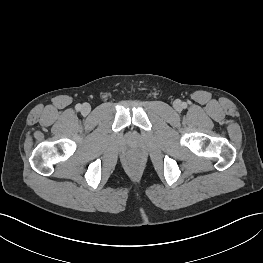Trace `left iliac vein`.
Returning a JSON list of instances; mask_svg holds the SVG:
<instances>
[{"mask_svg": "<svg viewBox=\"0 0 263 263\" xmlns=\"http://www.w3.org/2000/svg\"><path fill=\"white\" fill-rule=\"evenodd\" d=\"M174 108L177 110V111H180L182 109V104L179 100H176L174 102Z\"/></svg>", "mask_w": 263, "mask_h": 263, "instance_id": "4c4485c4", "label": "left iliac vein"}]
</instances>
